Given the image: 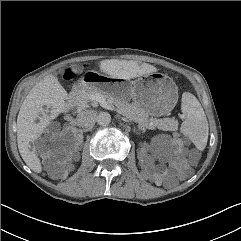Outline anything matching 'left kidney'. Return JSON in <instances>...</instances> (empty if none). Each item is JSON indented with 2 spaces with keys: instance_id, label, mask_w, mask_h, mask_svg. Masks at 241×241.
Wrapping results in <instances>:
<instances>
[{
  "instance_id": "5707ae66",
  "label": "left kidney",
  "mask_w": 241,
  "mask_h": 241,
  "mask_svg": "<svg viewBox=\"0 0 241 241\" xmlns=\"http://www.w3.org/2000/svg\"><path fill=\"white\" fill-rule=\"evenodd\" d=\"M173 142L177 145H181V142L178 140H173ZM173 144H171L167 139L161 140H152L150 146L147 147V150H150L152 154H168L171 155L173 150Z\"/></svg>"
}]
</instances>
